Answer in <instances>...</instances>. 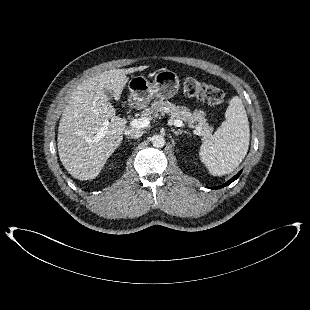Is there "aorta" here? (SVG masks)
<instances>
[{"instance_id": "aorta-1", "label": "aorta", "mask_w": 310, "mask_h": 310, "mask_svg": "<svg viewBox=\"0 0 310 310\" xmlns=\"http://www.w3.org/2000/svg\"><path fill=\"white\" fill-rule=\"evenodd\" d=\"M152 144L156 148H162L165 145V138L161 135H154L152 137Z\"/></svg>"}]
</instances>
